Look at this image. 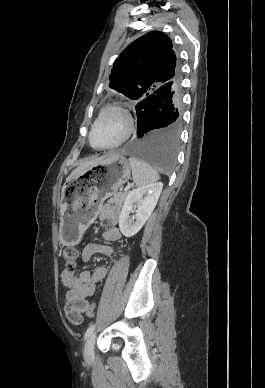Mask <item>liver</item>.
Wrapping results in <instances>:
<instances>
[{
	"label": "liver",
	"instance_id": "obj_1",
	"mask_svg": "<svg viewBox=\"0 0 265 388\" xmlns=\"http://www.w3.org/2000/svg\"><path fill=\"white\" fill-rule=\"evenodd\" d=\"M109 156H117V154H106V156H101V158H95V160H90V162H83V164H80L76 170H73L71 172L70 176L67 178V182L69 180H72L74 176H78L79 172H83V170H88V168H92V166H97L101 160H104V158H109Z\"/></svg>",
	"mask_w": 265,
	"mask_h": 388
}]
</instances>
